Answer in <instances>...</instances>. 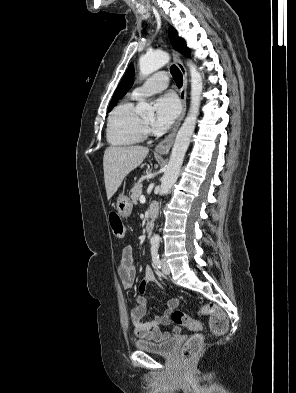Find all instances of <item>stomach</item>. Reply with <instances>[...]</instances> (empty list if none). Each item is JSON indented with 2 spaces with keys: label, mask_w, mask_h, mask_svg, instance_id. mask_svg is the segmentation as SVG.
<instances>
[{
  "label": "stomach",
  "mask_w": 296,
  "mask_h": 393,
  "mask_svg": "<svg viewBox=\"0 0 296 393\" xmlns=\"http://www.w3.org/2000/svg\"><path fill=\"white\" fill-rule=\"evenodd\" d=\"M116 207H117L118 214L121 217L126 218L130 216L133 205L130 199L122 193L117 198Z\"/></svg>",
  "instance_id": "stomach-1"
}]
</instances>
